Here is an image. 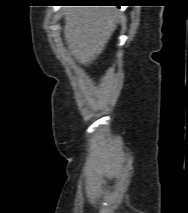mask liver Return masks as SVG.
<instances>
[{
  "label": "liver",
  "mask_w": 188,
  "mask_h": 213,
  "mask_svg": "<svg viewBox=\"0 0 188 213\" xmlns=\"http://www.w3.org/2000/svg\"><path fill=\"white\" fill-rule=\"evenodd\" d=\"M115 6H73L65 14L64 38L74 58L83 65L95 60L117 28Z\"/></svg>",
  "instance_id": "1"
}]
</instances>
